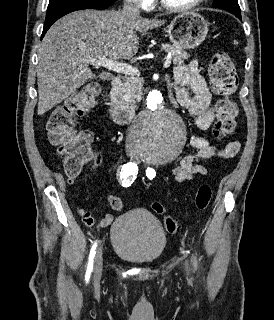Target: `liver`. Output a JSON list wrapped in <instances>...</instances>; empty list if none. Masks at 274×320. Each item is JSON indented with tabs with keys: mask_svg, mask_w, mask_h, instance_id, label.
<instances>
[{
	"mask_svg": "<svg viewBox=\"0 0 274 320\" xmlns=\"http://www.w3.org/2000/svg\"><path fill=\"white\" fill-rule=\"evenodd\" d=\"M166 20L124 18L121 10H79L55 22L38 50V116L61 104L85 82L95 80L88 58L131 60L138 52L136 32L163 26Z\"/></svg>",
	"mask_w": 274,
	"mask_h": 320,
	"instance_id": "liver-1",
	"label": "liver"
}]
</instances>
